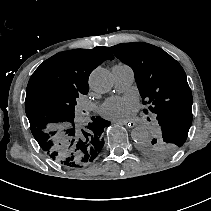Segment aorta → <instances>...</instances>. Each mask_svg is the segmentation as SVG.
<instances>
[{"label":"aorta","mask_w":211,"mask_h":211,"mask_svg":"<svg viewBox=\"0 0 211 211\" xmlns=\"http://www.w3.org/2000/svg\"><path fill=\"white\" fill-rule=\"evenodd\" d=\"M89 85L97 93L109 92L113 87L111 73L105 68H96L89 77ZM131 137L135 142L141 143L149 139V131L144 126H136L132 129Z\"/></svg>","instance_id":"aorta-1"}]
</instances>
